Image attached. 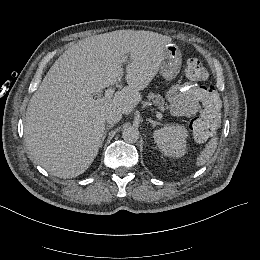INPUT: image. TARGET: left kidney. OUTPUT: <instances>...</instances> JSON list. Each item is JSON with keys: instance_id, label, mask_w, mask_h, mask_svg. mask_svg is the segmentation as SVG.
Wrapping results in <instances>:
<instances>
[{"instance_id": "left-kidney-1", "label": "left kidney", "mask_w": 260, "mask_h": 260, "mask_svg": "<svg viewBox=\"0 0 260 260\" xmlns=\"http://www.w3.org/2000/svg\"><path fill=\"white\" fill-rule=\"evenodd\" d=\"M187 129L181 125H165L154 131L153 137L165 156L179 158L186 153Z\"/></svg>"}]
</instances>
